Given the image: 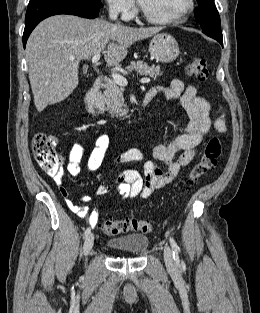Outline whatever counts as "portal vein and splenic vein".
Instances as JSON below:
<instances>
[{
	"label": "portal vein and splenic vein",
	"mask_w": 260,
	"mask_h": 313,
	"mask_svg": "<svg viewBox=\"0 0 260 313\" xmlns=\"http://www.w3.org/2000/svg\"><path fill=\"white\" fill-rule=\"evenodd\" d=\"M101 54L100 53H96L93 57H92V63L97 64L98 61L100 60ZM74 58H71V60H73ZM112 78L113 80L120 86H127L128 82L127 79L124 78L122 75L118 74V73H113L112 74ZM141 83H149L150 79L149 78H142L140 80Z\"/></svg>",
	"instance_id": "obj_1"
}]
</instances>
